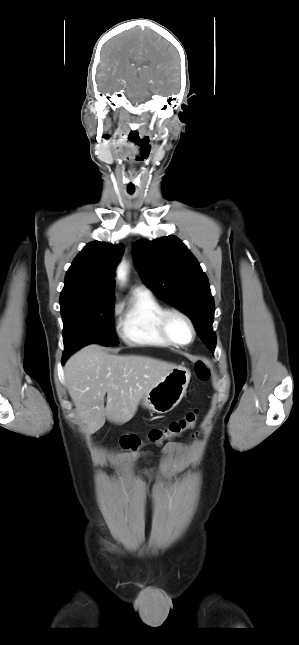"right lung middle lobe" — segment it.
Masks as SVG:
<instances>
[{"mask_svg": "<svg viewBox=\"0 0 299 645\" xmlns=\"http://www.w3.org/2000/svg\"><path fill=\"white\" fill-rule=\"evenodd\" d=\"M113 298L69 300L60 304L65 347L62 359L87 344H118L113 329Z\"/></svg>", "mask_w": 299, "mask_h": 645, "instance_id": "1", "label": "right lung middle lobe"}]
</instances>
